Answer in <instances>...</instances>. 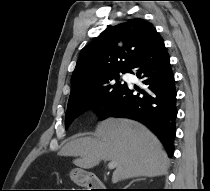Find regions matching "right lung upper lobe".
<instances>
[{"label":"right lung upper lobe","mask_w":210,"mask_h":191,"mask_svg":"<svg viewBox=\"0 0 210 191\" xmlns=\"http://www.w3.org/2000/svg\"><path fill=\"white\" fill-rule=\"evenodd\" d=\"M159 36L143 19L109 27L82 49L71 77L70 98L89 91L102 77L129 71L133 62Z\"/></svg>","instance_id":"1"}]
</instances>
